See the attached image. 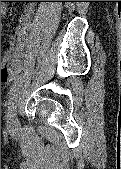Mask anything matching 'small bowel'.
Masks as SVG:
<instances>
[{
  "mask_svg": "<svg viewBox=\"0 0 121 169\" xmlns=\"http://www.w3.org/2000/svg\"><path fill=\"white\" fill-rule=\"evenodd\" d=\"M1 3V15L5 17L7 14L6 1H1ZM33 13L34 7L31 4H27L22 14L18 17L17 26L12 33L13 42L1 63L2 82H8L16 78L23 69L28 45V33Z\"/></svg>",
  "mask_w": 121,
  "mask_h": 169,
  "instance_id": "small-bowel-1",
  "label": "small bowel"
}]
</instances>
